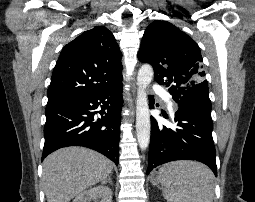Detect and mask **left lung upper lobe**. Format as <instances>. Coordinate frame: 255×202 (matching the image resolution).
<instances>
[{
  "label": "left lung upper lobe",
  "instance_id": "1",
  "mask_svg": "<svg viewBox=\"0 0 255 202\" xmlns=\"http://www.w3.org/2000/svg\"><path fill=\"white\" fill-rule=\"evenodd\" d=\"M138 58L153 66L156 82L169 88L179 107L211 112L200 48L186 33L155 20L145 30Z\"/></svg>",
  "mask_w": 255,
  "mask_h": 202
}]
</instances>
